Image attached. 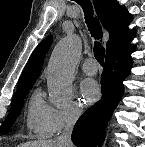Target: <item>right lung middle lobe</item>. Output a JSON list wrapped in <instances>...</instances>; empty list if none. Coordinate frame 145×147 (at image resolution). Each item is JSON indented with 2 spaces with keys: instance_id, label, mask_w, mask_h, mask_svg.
Returning <instances> with one entry per match:
<instances>
[{
  "instance_id": "1",
  "label": "right lung middle lobe",
  "mask_w": 145,
  "mask_h": 147,
  "mask_svg": "<svg viewBox=\"0 0 145 147\" xmlns=\"http://www.w3.org/2000/svg\"><path fill=\"white\" fill-rule=\"evenodd\" d=\"M32 88V86L17 89V91L14 94L12 105L10 112L8 116L6 117L2 127H1V133L6 134L9 132L12 124L14 123L16 117L20 114L22 106H23V99L26 97L29 90Z\"/></svg>"
}]
</instances>
